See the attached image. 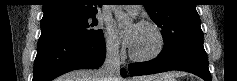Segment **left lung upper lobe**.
Returning a JSON list of instances; mask_svg holds the SVG:
<instances>
[{
	"label": "left lung upper lobe",
	"instance_id": "1",
	"mask_svg": "<svg viewBox=\"0 0 237 81\" xmlns=\"http://www.w3.org/2000/svg\"><path fill=\"white\" fill-rule=\"evenodd\" d=\"M195 3V0H148L144 5L151 19L162 29L163 54L189 41L203 39Z\"/></svg>",
	"mask_w": 237,
	"mask_h": 81
}]
</instances>
